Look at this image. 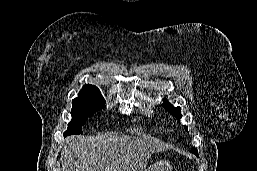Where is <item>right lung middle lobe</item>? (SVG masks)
Listing matches in <instances>:
<instances>
[{
  "mask_svg": "<svg viewBox=\"0 0 257 171\" xmlns=\"http://www.w3.org/2000/svg\"><path fill=\"white\" fill-rule=\"evenodd\" d=\"M100 92L80 91L78 97L72 101V120L68 124L64 137L72 134H82V126L87 118L105 105Z\"/></svg>",
  "mask_w": 257,
  "mask_h": 171,
  "instance_id": "right-lung-middle-lobe-1",
  "label": "right lung middle lobe"
}]
</instances>
